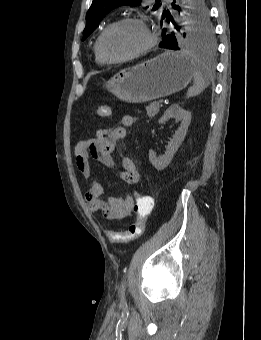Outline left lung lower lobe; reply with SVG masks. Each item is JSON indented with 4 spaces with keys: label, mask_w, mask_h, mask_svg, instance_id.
<instances>
[{
    "label": "left lung lower lobe",
    "mask_w": 261,
    "mask_h": 340,
    "mask_svg": "<svg viewBox=\"0 0 261 340\" xmlns=\"http://www.w3.org/2000/svg\"><path fill=\"white\" fill-rule=\"evenodd\" d=\"M182 1H183V8H184L186 6L187 0H182ZM177 8L179 10H181V8L179 6H177ZM170 20L172 21V23H174V21L172 19H169L167 17V21L169 22ZM159 46L162 47V48L179 50L177 39L173 35H167V36L163 37V40L160 42Z\"/></svg>",
    "instance_id": "obj_1"
}]
</instances>
